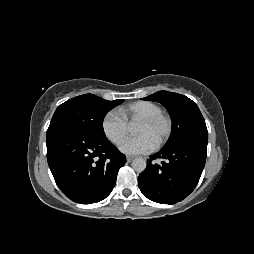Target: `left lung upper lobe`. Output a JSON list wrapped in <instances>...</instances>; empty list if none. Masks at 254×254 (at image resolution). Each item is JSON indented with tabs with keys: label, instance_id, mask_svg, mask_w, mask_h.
<instances>
[{
	"label": "left lung upper lobe",
	"instance_id": "obj_1",
	"mask_svg": "<svg viewBox=\"0 0 254 254\" xmlns=\"http://www.w3.org/2000/svg\"><path fill=\"white\" fill-rule=\"evenodd\" d=\"M143 99L161 103L171 116L172 131L163 149L188 141L208 142L205 120L196 103L188 97L159 91Z\"/></svg>",
	"mask_w": 254,
	"mask_h": 254
}]
</instances>
